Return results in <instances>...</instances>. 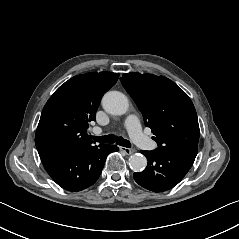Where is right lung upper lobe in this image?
Here are the masks:
<instances>
[{
    "label": "right lung upper lobe",
    "instance_id": "obj_1",
    "mask_svg": "<svg viewBox=\"0 0 239 239\" xmlns=\"http://www.w3.org/2000/svg\"><path fill=\"white\" fill-rule=\"evenodd\" d=\"M118 77L119 73L91 72L61 85L43 108L35 135L38 153L92 145L88 122L95 120L102 96Z\"/></svg>",
    "mask_w": 239,
    "mask_h": 239
}]
</instances>
